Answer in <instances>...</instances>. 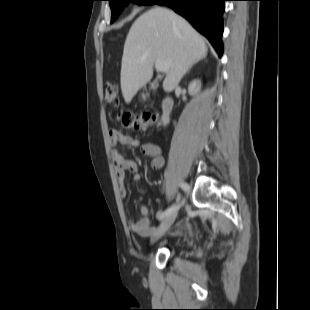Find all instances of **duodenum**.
<instances>
[{
    "mask_svg": "<svg viewBox=\"0 0 310 310\" xmlns=\"http://www.w3.org/2000/svg\"><path fill=\"white\" fill-rule=\"evenodd\" d=\"M173 108V101L170 97H165L161 103V117L160 123L166 126L170 120V114Z\"/></svg>",
    "mask_w": 310,
    "mask_h": 310,
    "instance_id": "410a0bca",
    "label": "duodenum"
}]
</instances>
